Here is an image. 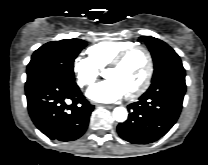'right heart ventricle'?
Here are the masks:
<instances>
[{
    "instance_id": "1",
    "label": "right heart ventricle",
    "mask_w": 208,
    "mask_h": 165,
    "mask_svg": "<svg viewBox=\"0 0 208 165\" xmlns=\"http://www.w3.org/2000/svg\"><path fill=\"white\" fill-rule=\"evenodd\" d=\"M131 41L124 40H104L98 42L87 49L89 58L97 68L105 67L117 54L124 49L133 46Z\"/></svg>"
}]
</instances>
